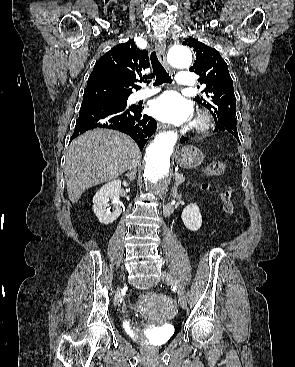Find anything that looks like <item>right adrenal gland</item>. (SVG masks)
Returning a JSON list of instances; mask_svg holds the SVG:
<instances>
[{"instance_id":"right-adrenal-gland-1","label":"right adrenal gland","mask_w":295,"mask_h":367,"mask_svg":"<svg viewBox=\"0 0 295 367\" xmlns=\"http://www.w3.org/2000/svg\"><path fill=\"white\" fill-rule=\"evenodd\" d=\"M126 177L131 181L133 182L136 178V171L133 170V171H130V172H127L126 174Z\"/></svg>"}]
</instances>
